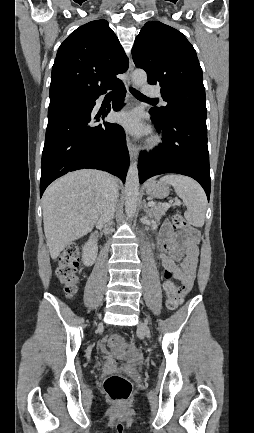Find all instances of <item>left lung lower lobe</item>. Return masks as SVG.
<instances>
[{
	"instance_id": "left-lung-lower-lobe-1",
	"label": "left lung lower lobe",
	"mask_w": 254,
	"mask_h": 433,
	"mask_svg": "<svg viewBox=\"0 0 254 433\" xmlns=\"http://www.w3.org/2000/svg\"><path fill=\"white\" fill-rule=\"evenodd\" d=\"M163 142L151 154L139 155V180L163 173H178L194 178L210 197L211 180L207 147L206 115L181 111L159 119L150 111Z\"/></svg>"
}]
</instances>
